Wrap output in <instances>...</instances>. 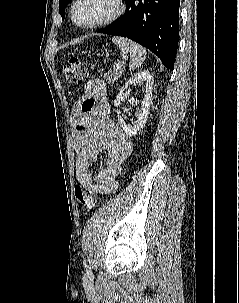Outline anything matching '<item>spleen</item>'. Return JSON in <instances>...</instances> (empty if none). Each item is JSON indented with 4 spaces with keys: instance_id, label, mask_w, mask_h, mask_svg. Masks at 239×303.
<instances>
[{
    "instance_id": "obj_1",
    "label": "spleen",
    "mask_w": 239,
    "mask_h": 303,
    "mask_svg": "<svg viewBox=\"0 0 239 303\" xmlns=\"http://www.w3.org/2000/svg\"><path fill=\"white\" fill-rule=\"evenodd\" d=\"M112 41L119 47L122 53L130 55L131 69L139 68L146 59V50L138 43L123 37H113Z\"/></svg>"
}]
</instances>
